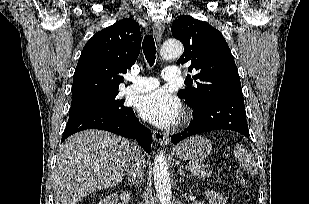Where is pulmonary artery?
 I'll use <instances>...</instances> for the list:
<instances>
[{
	"instance_id": "e3ab8cb5",
	"label": "pulmonary artery",
	"mask_w": 309,
	"mask_h": 204,
	"mask_svg": "<svg viewBox=\"0 0 309 204\" xmlns=\"http://www.w3.org/2000/svg\"><path fill=\"white\" fill-rule=\"evenodd\" d=\"M181 77V71L176 67H168L163 71L162 78L165 81L178 80ZM159 86V81L153 77H135L131 85L127 86L124 93L139 94L154 90Z\"/></svg>"
}]
</instances>
